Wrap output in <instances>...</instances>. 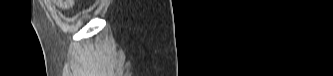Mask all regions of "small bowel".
I'll return each instance as SVG.
<instances>
[{"mask_svg": "<svg viewBox=\"0 0 333 76\" xmlns=\"http://www.w3.org/2000/svg\"><path fill=\"white\" fill-rule=\"evenodd\" d=\"M52 8L57 11H64L76 6L75 0H50Z\"/></svg>", "mask_w": 333, "mask_h": 76, "instance_id": "obj_1", "label": "small bowel"}]
</instances>
